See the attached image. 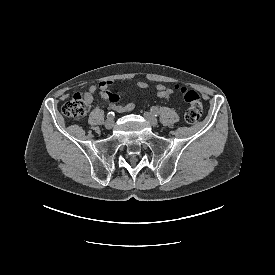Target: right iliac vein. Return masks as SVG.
Segmentation results:
<instances>
[{"mask_svg":"<svg viewBox=\"0 0 275 275\" xmlns=\"http://www.w3.org/2000/svg\"><path fill=\"white\" fill-rule=\"evenodd\" d=\"M113 126H114V119L113 118H108L105 122V127L107 129H111V128H113Z\"/></svg>","mask_w":275,"mask_h":275,"instance_id":"1","label":"right iliac vein"}]
</instances>
